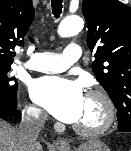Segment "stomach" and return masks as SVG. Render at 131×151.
Wrapping results in <instances>:
<instances>
[{"mask_svg": "<svg viewBox=\"0 0 131 151\" xmlns=\"http://www.w3.org/2000/svg\"><path fill=\"white\" fill-rule=\"evenodd\" d=\"M63 151H69L64 149ZM75 151H110L104 142L98 139H90L81 144Z\"/></svg>", "mask_w": 131, "mask_h": 151, "instance_id": "obj_1", "label": "stomach"}]
</instances>
